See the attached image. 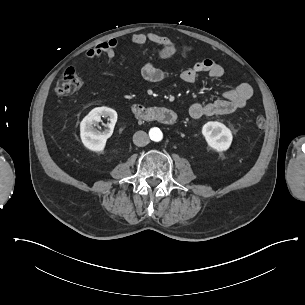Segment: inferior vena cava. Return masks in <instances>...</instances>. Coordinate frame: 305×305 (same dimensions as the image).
Instances as JSON below:
<instances>
[{"mask_svg":"<svg viewBox=\"0 0 305 305\" xmlns=\"http://www.w3.org/2000/svg\"><path fill=\"white\" fill-rule=\"evenodd\" d=\"M133 143L138 147L146 146L149 143V137L144 131H137L133 135Z\"/></svg>","mask_w":305,"mask_h":305,"instance_id":"inferior-vena-cava-1","label":"inferior vena cava"}]
</instances>
